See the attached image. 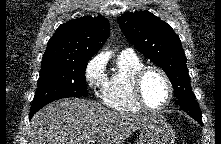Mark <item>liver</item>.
<instances>
[{"mask_svg": "<svg viewBox=\"0 0 221 144\" xmlns=\"http://www.w3.org/2000/svg\"><path fill=\"white\" fill-rule=\"evenodd\" d=\"M153 118L113 111L88 99L66 98L32 117L27 139L29 144H88L98 134L97 144H122Z\"/></svg>", "mask_w": 221, "mask_h": 144, "instance_id": "obj_1", "label": "liver"}]
</instances>
